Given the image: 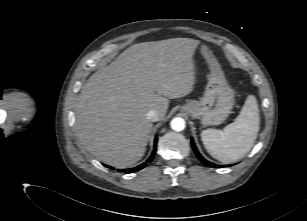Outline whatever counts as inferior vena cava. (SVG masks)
<instances>
[{
    "mask_svg": "<svg viewBox=\"0 0 307 221\" xmlns=\"http://www.w3.org/2000/svg\"><path fill=\"white\" fill-rule=\"evenodd\" d=\"M146 117L148 120L153 122L158 121L160 119L159 112L156 109L149 110L148 113L146 114Z\"/></svg>",
    "mask_w": 307,
    "mask_h": 221,
    "instance_id": "1",
    "label": "inferior vena cava"
}]
</instances>
